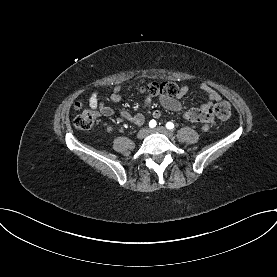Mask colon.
Listing matches in <instances>:
<instances>
[{
	"instance_id": "1",
	"label": "colon",
	"mask_w": 277,
	"mask_h": 277,
	"mask_svg": "<svg viewBox=\"0 0 277 277\" xmlns=\"http://www.w3.org/2000/svg\"><path fill=\"white\" fill-rule=\"evenodd\" d=\"M143 92L155 97H174L178 94L179 89L171 82L150 83L143 88ZM76 107L80 109L82 104L78 103ZM214 112L220 120L229 123L231 119V107L228 102L222 101L216 104ZM98 116L99 114L97 111L93 109H84L75 117L74 126L80 130H88L94 125Z\"/></svg>"
}]
</instances>
